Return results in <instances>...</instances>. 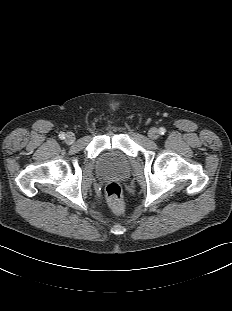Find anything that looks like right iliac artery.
<instances>
[{
  "label": "right iliac artery",
  "instance_id": "obj_1",
  "mask_svg": "<svg viewBox=\"0 0 232 311\" xmlns=\"http://www.w3.org/2000/svg\"><path fill=\"white\" fill-rule=\"evenodd\" d=\"M59 138H60V139H65V134H64V133H60V134H59Z\"/></svg>",
  "mask_w": 232,
  "mask_h": 311
}]
</instances>
